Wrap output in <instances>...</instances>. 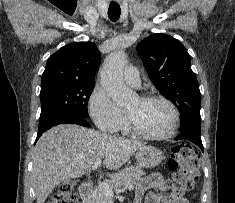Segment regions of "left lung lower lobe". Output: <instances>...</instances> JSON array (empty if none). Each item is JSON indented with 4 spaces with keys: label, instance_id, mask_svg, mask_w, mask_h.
Masks as SVG:
<instances>
[{
    "label": "left lung lower lobe",
    "instance_id": "obj_1",
    "mask_svg": "<svg viewBox=\"0 0 235 203\" xmlns=\"http://www.w3.org/2000/svg\"><path fill=\"white\" fill-rule=\"evenodd\" d=\"M189 140L196 144L204 152V148L201 141V131L195 129H186L181 131V133L175 138V140Z\"/></svg>",
    "mask_w": 235,
    "mask_h": 203
}]
</instances>
